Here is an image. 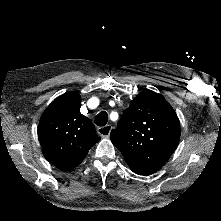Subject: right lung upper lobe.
Masks as SVG:
<instances>
[{"instance_id": "right-lung-upper-lobe-1", "label": "right lung upper lobe", "mask_w": 221, "mask_h": 221, "mask_svg": "<svg viewBox=\"0 0 221 221\" xmlns=\"http://www.w3.org/2000/svg\"><path fill=\"white\" fill-rule=\"evenodd\" d=\"M80 106L78 93L59 96L47 107L38 126L45 157L65 171L78 166L101 139L91 120L80 113Z\"/></svg>"}]
</instances>
